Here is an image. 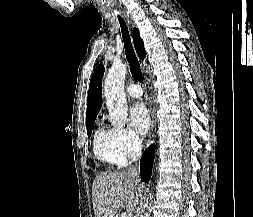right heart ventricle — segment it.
<instances>
[{
  "label": "right heart ventricle",
  "instance_id": "1",
  "mask_svg": "<svg viewBox=\"0 0 253 217\" xmlns=\"http://www.w3.org/2000/svg\"><path fill=\"white\" fill-rule=\"evenodd\" d=\"M93 152L98 160L107 166L125 167L127 157L117 145L112 130L99 127L93 137Z\"/></svg>",
  "mask_w": 253,
  "mask_h": 217
}]
</instances>
